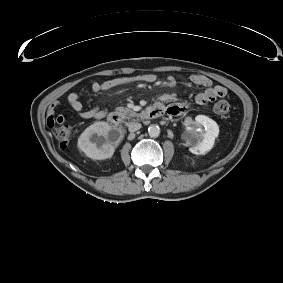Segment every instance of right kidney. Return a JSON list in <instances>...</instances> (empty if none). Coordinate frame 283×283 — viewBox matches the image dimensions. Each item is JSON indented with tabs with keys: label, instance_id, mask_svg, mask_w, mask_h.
<instances>
[{
	"label": "right kidney",
	"instance_id": "1",
	"mask_svg": "<svg viewBox=\"0 0 283 283\" xmlns=\"http://www.w3.org/2000/svg\"><path fill=\"white\" fill-rule=\"evenodd\" d=\"M123 135L107 122L98 121L80 135L78 148L93 160L111 158Z\"/></svg>",
	"mask_w": 283,
	"mask_h": 283
}]
</instances>
